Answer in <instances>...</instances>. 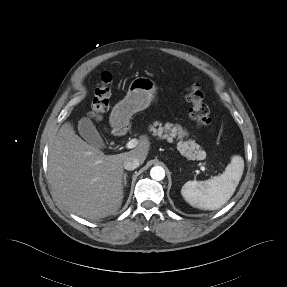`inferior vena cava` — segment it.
Listing matches in <instances>:
<instances>
[{"instance_id": "602c4592", "label": "inferior vena cava", "mask_w": 287, "mask_h": 287, "mask_svg": "<svg viewBox=\"0 0 287 287\" xmlns=\"http://www.w3.org/2000/svg\"><path fill=\"white\" fill-rule=\"evenodd\" d=\"M140 161L135 157H127L123 162V167L126 170H134L139 167Z\"/></svg>"}]
</instances>
